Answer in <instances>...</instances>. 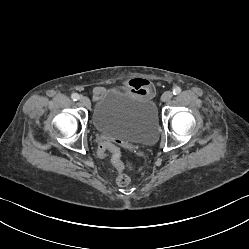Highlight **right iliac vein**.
Returning <instances> with one entry per match:
<instances>
[{
    "label": "right iliac vein",
    "instance_id": "63e3f726",
    "mask_svg": "<svg viewBox=\"0 0 249 249\" xmlns=\"http://www.w3.org/2000/svg\"><path fill=\"white\" fill-rule=\"evenodd\" d=\"M80 102H81V104L83 106H85L87 108L90 107V105H91L90 100L87 97H84V96L81 97Z\"/></svg>",
    "mask_w": 249,
    "mask_h": 249
}]
</instances>
